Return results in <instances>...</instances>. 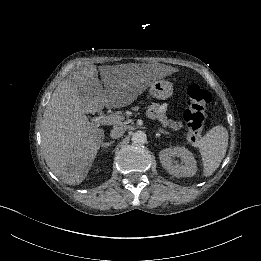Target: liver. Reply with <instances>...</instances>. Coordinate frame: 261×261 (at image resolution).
I'll use <instances>...</instances> for the list:
<instances>
[{
	"label": "liver",
	"mask_w": 261,
	"mask_h": 261,
	"mask_svg": "<svg viewBox=\"0 0 261 261\" xmlns=\"http://www.w3.org/2000/svg\"><path fill=\"white\" fill-rule=\"evenodd\" d=\"M166 74L159 65H82L72 72L52 93L40 121L41 152L49 169L65 184H81L105 140V130L86 114L127 107Z\"/></svg>",
	"instance_id": "1"
}]
</instances>
